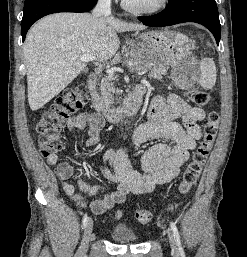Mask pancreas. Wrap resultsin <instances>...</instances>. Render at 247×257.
Segmentation results:
<instances>
[{"mask_svg": "<svg viewBox=\"0 0 247 257\" xmlns=\"http://www.w3.org/2000/svg\"><path fill=\"white\" fill-rule=\"evenodd\" d=\"M133 62V69L136 71L149 69V78L160 80L167 73V67L163 63L152 62L150 64H144L136 57H134ZM113 81L118 82L117 76L114 73H109L106 78L102 79L100 84L99 90L101 94V101L106 105H110L112 103L113 94L122 93V90L120 88L114 87Z\"/></svg>", "mask_w": 247, "mask_h": 257, "instance_id": "pancreas-1", "label": "pancreas"}]
</instances>
